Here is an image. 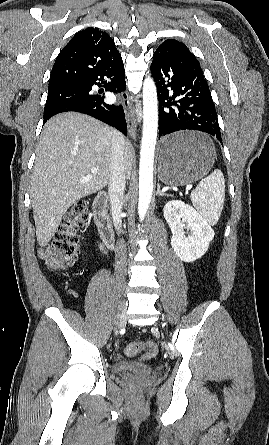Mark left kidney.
I'll return each mask as SVG.
<instances>
[{
  "instance_id": "obj_1",
  "label": "left kidney",
  "mask_w": 269,
  "mask_h": 445,
  "mask_svg": "<svg viewBox=\"0 0 269 445\" xmlns=\"http://www.w3.org/2000/svg\"><path fill=\"white\" fill-rule=\"evenodd\" d=\"M164 217L172 231L171 246L184 262L201 258L214 238V231L207 221L190 205L179 200L164 206ZM184 229L190 231L186 235Z\"/></svg>"
}]
</instances>
